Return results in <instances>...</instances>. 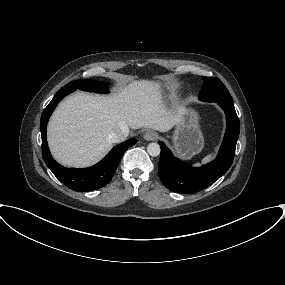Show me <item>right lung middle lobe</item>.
<instances>
[{
  "instance_id": "right-lung-middle-lobe-1",
  "label": "right lung middle lobe",
  "mask_w": 285,
  "mask_h": 285,
  "mask_svg": "<svg viewBox=\"0 0 285 285\" xmlns=\"http://www.w3.org/2000/svg\"><path fill=\"white\" fill-rule=\"evenodd\" d=\"M63 89H70L71 91H75L76 89H81L84 91L96 92V93H108V83L93 81V80H78L71 81L64 87Z\"/></svg>"
}]
</instances>
